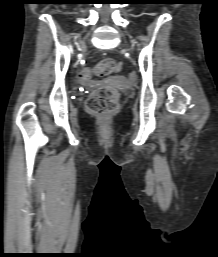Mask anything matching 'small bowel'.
<instances>
[{"label":"small bowel","instance_id":"obj_1","mask_svg":"<svg viewBox=\"0 0 218 257\" xmlns=\"http://www.w3.org/2000/svg\"><path fill=\"white\" fill-rule=\"evenodd\" d=\"M89 74V73H88ZM75 78H77V73H75ZM77 84H78V81H77Z\"/></svg>","mask_w":218,"mask_h":257}]
</instances>
